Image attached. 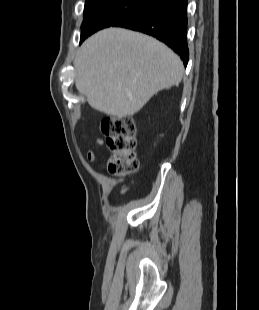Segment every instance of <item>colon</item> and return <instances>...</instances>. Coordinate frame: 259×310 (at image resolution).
Segmentation results:
<instances>
[{"instance_id":"5ec220e1","label":"colon","mask_w":259,"mask_h":310,"mask_svg":"<svg viewBox=\"0 0 259 310\" xmlns=\"http://www.w3.org/2000/svg\"><path fill=\"white\" fill-rule=\"evenodd\" d=\"M101 131L111 152L109 172L116 176H127L139 168L136 156V126L130 117H106L101 121Z\"/></svg>"}]
</instances>
